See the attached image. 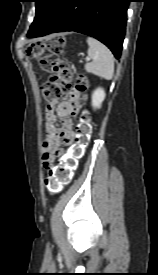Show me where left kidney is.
Returning a JSON list of instances; mask_svg holds the SVG:
<instances>
[{
    "label": "left kidney",
    "instance_id": "1",
    "mask_svg": "<svg viewBox=\"0 0 158 275\" xmlns=\"http://www.w3.org/2000/svg\"><path fill=\"white\" fill-rule=\"evenodd\" d=\"M105 91L102 88H97L92 94V106L94 109L100 108L105 99Z\"/></svg>",
    "mask_w": 158,
    "mask_h": 275
}]
</instances>
